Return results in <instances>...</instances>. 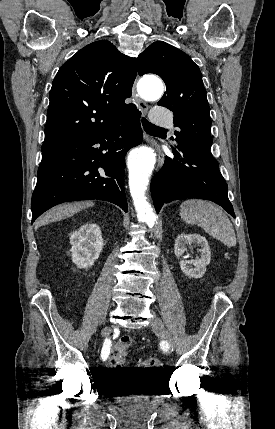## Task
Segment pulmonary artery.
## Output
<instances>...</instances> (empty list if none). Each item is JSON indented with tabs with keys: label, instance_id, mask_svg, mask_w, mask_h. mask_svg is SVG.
I'll list each match as a JSON object with an SVG mask.
<instances>
[{
	"label": "pulmonary artery",
	"instance_id": "e3ab8cb5",
	"mask_svg": "<svg viewBox=\"0 0 275 429\" xmlns=\"http://www.w3.org/2000/svg\"><path fill=\"white\" fill-rule=\"evenodd\" d=\"M150 119L157 126L171 127L173 125L171 116L161 108L153 109Z\"/></svg>",
	"mask_w": 275,
	"mask_h": 429
}]
</instances>
